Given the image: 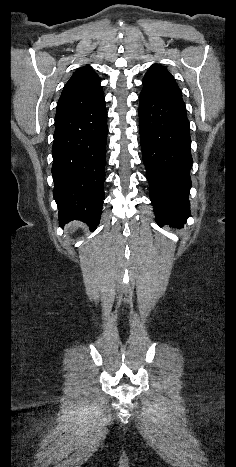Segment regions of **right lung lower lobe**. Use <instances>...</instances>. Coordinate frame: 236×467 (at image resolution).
<instances>
[{
  "mask_svg": "<svg viewBox=\"0 0 236 467\" xmlns=\"http://www.w3.org/2000/svg\"><path fill=\"white\" fill-rule=\"evenodd\" d=\"M107 112L104 97L88 109L55 122L53 196L59 223L81 220L95 230L104 200Z\"/></svg>",
  "mask_w": 236,
  "mask_h": 467,
  "instance_id": "1",
  "label": "right lung lower lobe"
}]
</instances>
